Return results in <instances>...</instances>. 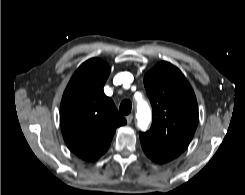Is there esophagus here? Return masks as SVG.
<instances>
[{"mask_svg":"<svg viewBox=\"0 0 245 195\" xmlns=\"http://www.w3.org/2000/svg\"><path fill=\"white\" fill-rule=\"evenodd\" d=\"M126 120H127V123L130 124L133 120V115L130 114V115L126 116Z\"/></svg>","mask_w":245,"mask_h":195,"instance_id":"esophagus-1","label":"esophagus"}]
</instances>
